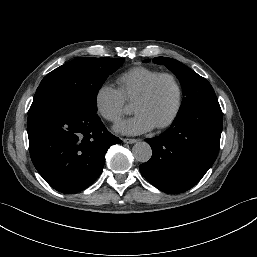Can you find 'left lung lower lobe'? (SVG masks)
<instances>
[{
	"label": "left lung lower lobe",
	"mask_w": 257,
	"mask_h": 257,
	"mask_svg": "<svg viewBox=\"0 0 257 257\" xmlns=\"http://www.w3.org/2000/svg\"><path fill=\"white\" fill-rule=\"evenodd\" d=\"M221 131L218 101L176 117L164 133L145 139L153 153L148 162L139 166L140 172L164 192L176 194L190 189L214 163Z\"/></svg>",
	"instance_id": "1"
}]
</instances>
